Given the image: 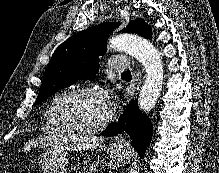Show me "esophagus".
Segmentation results:
<instances>
[{
  "mask_svg": "<svg viewBox=\"0 0 219 173\" xmlns=\"http://www.w3.org/2000/svg\"><path fill=\"white\" fill-rule=\"evenodd\" d=\"M116 142L119 144V143H123L124 142V139L123 138H118L116 139Z\"/></svg>",
  "mask_w": 219,
  "mask_h": 173,
  "instance_id": "esophagus-1",
  "label": "esophagus"
}]
</instances>
